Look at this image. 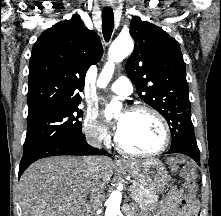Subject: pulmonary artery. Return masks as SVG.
<instances>
[{
    "label": "pulmonary artery",
    "mask_w": 221,
    "mask_h": 216,
    "mask_svg": "<svg viewBox=\"0 0 221 216\" xmlns=\"http://www.w3.org/2000/svg\"><path fill=\"white\" fill-rule=\"evenodd\" d=\"M110 90L120 96H128L133 92L131 82L125 76L117 78L110 86Z\"/></svg>",
    "instance_id": "pulmonary-artery-1"
}]
</instances>
